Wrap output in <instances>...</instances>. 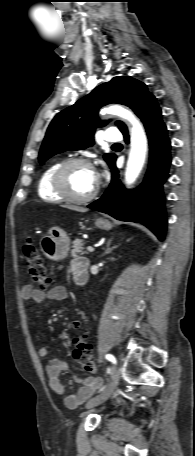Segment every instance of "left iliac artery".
<instances>
[{
    "instance_id": "left-iliac-artery-1",
    "label": "left iliac artery",
    "mask_w": 195,
    "mask_h": 456,
    "mask_svg": "<svg viewBox=\"0 0 195 456\" xmlns=\"http://www.w3.org/2000/svg\"><path fill=\"white\" fill-rule=\"evenodd\" d=\"M105 357H106L107 360L111 361L112 363H114V364L116 363V359H115V357L113 355L106 354Z\"/></svg>"
}]
</instances>
